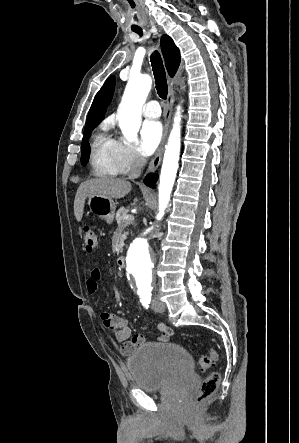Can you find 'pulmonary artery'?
<instances>
[{
	"mask_svg": "<svg viewBox=\"0 0 299 443\" xmlns=\"http://www.w3.org/2000/svg\"><path fill=\"white\" fill-rule=\"evenodd\" d=\"M143 114L147 118H157L161 114L159 103L156 100L147 102L143 107Z\"/></svg>",
	"mask_w": 299,
	"mask_h": 443,
	"instance_id": "1",
	"label": "pulmonary artery"
}]
</instances>
